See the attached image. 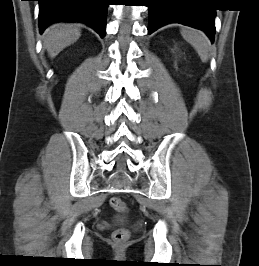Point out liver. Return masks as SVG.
<instances>
[{
  "instance_id": "obj_1",
  "label": "liver",
  "mask_w": 259,
  "mask_h": 266,
  "mask_svg": "<svg viewBox=\"0 0 259 266\" xmlns=\"http://www.w3.org/2000/svg\"><path fill=\"white\" fill-rule=\"evenodd\" d=\"M81 36L80 26L58 23L48 27L43 34V44L51 58L75 43Z\"/></svg>"
}]
</instances>
